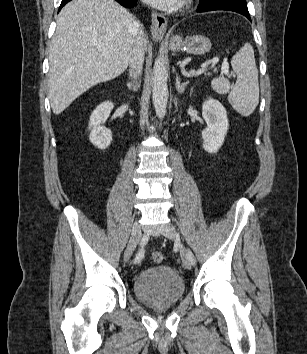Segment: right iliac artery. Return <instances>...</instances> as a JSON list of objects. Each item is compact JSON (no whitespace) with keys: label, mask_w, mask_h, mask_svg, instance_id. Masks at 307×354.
<instances>
[{"label":"right iliac artery","mask_w":307,"mask_h":354,"mask_svg":"<svg viewBox=\"0 0 307 354\" xmlns=\"http://www.w3.org/2000/svg\"><path fill=\"white\" fill-rule=\"evenodd\" d=\"M144 257V250L143 248L139 250V252L137 253L135 259H134V263H138L142 260V258Z\"/></svg>","instance_id":"obj_1"}]
</instances>
